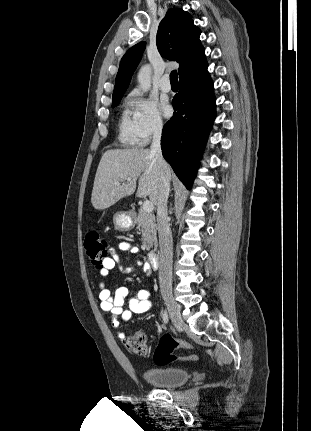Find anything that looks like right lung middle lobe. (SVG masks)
Listing matches in <instances>:
<instances>
[{"label":"right lung middle lobe","mask_w":311,"mask_h":431,"mask_svg":"<svg viewBox=\"0 0 311 431\" xmlns=\"http://www.w3.org/2000/svg\"><path fill=\"white\" fill-rule=\"evenodd\" d=\"M121 98H122V96L113 98L112 107H116L119 104Z\"/></svg>","instance_id":"dd1d6c3e"}]
</instances>
